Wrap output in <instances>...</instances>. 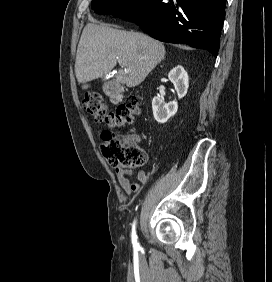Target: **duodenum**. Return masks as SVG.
<instances>
[{
    "label": "duodenum",
    "instance_id": "1",
    "mask_svg": "<svg viewBox=\"0 0 272 282\" xmlns=\"http://www.w3.org/2000/svg\"><path fill=\"white\" fill-rule=\"evenodd\" d=\"M122 90L123 87L116 82H112L107 86V92L109 93L110 97L114 100H118L121 98Z\"/></svg>",
    "mask_w": 272,
    "mask_h": 282
}]
</instances>
